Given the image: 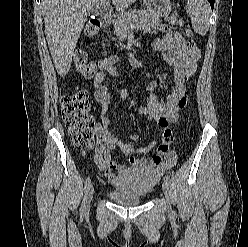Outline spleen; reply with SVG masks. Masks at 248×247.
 Segmentation results:
<instances>
[{
	"label": "spleen",
	"mask_w": 248,
	"mask_h": 247,
	"mask_svg": "<svg viewBox=\"0 0 248 247\" xmlns=\"http://www.w3.org/2000/svg\"><path fill=\"white\" fill-rule=\"evenodd\" d=\"M186 12L191 18L194 31L205 35L209 29V5L204 0H187Z\"/></svg>",
	"instance_id": "1"
}]
</instances>
